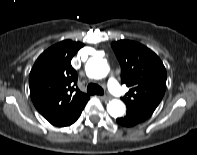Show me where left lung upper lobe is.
Instances as JSON below:
<instances>
[{
	"mask_svg": "<svg viewBox=\"0 0 197 155\" xmlns=\"http://www.w3.org/2000/svg\"><path fill=\"white\" fill-rule=\"evenodd\" d=\"M121 66V82L130 89L121 99L127 113L148 119L166 89V69L159 57L137 42L121 40L111 44Z\"/></svg>",
	"mask_w": 197,
	"mask_h": 155,
	"instance_id": "left-lung-upper-lobe-1",
	"label": "left lung upper lobe"
}]
</instances>
